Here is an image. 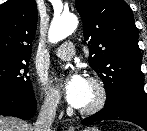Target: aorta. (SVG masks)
I'll return each mask as SVG.
<instances>
[{"label": "aorta", "instance_id": "obj_1", "mask_svg": "<svg viewBox=\"0 0 147 131\" xmlns=\"http://www.w3.org/2000/svg\"><path fill=\"white\" fill-rule=\"evenodd\" d=\"M78 25V19L74 14L62 15L55 18L49 29V41L59 42L73 33Z\"/></svg>", "mask_w": 147, "mask_h": 131}]
</instances>
